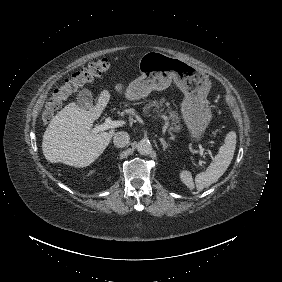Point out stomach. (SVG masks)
Returning a JSON list of instances; mask_svg holds the SVG:
<instances>
[{"label":"stomach","instance_id":"obj_1","mask_svg":"<svg viewBox=\"0 0 282 282\" xmlns=\"http://www.w3.org/2000/svg\"><path fill=\"white\" fill-rule=\"evenodd\" d=\"M141 75L124 90L127 102L143 100L152 91L166 90L174 82L185 94L182 103L184 120L193 133H200L210 120L206 96L210 80L197 67L159 51H148L139 60Z\"/></svg>","mask_w":282,"mask_h":282}]
</instances>
